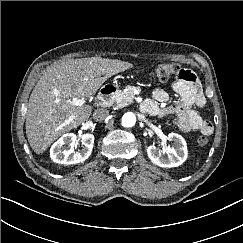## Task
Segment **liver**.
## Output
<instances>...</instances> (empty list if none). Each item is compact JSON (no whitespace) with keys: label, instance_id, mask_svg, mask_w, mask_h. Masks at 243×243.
I'll return each mask as SVG.
<instances>
[{"label":"liver","instance_id":"liver-1","mask_svg":"<svg viewBox=\"0 0 243 243\" xmlns=\"http://www.w3.org/2000/svg\"><path fill=\"white\" fill-rule=\"evenodd\" d=\"M132 67L129 62L101 57L70 59L48 67L35 85L26 113V135L41 154L63 133L86 121L92 106L73 105L89 98L111 76Z\"/></svg>","mask_w":243,"mask_h":243}]
</instances>
